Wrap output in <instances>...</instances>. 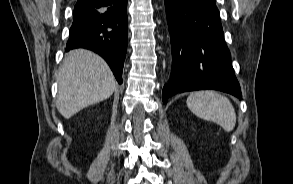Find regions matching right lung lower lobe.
I'll list each match as a JSON object with an SVG mask.
<instances>
[{"label":"right lung lower lobe","mask_w":293,"mask_h":184,"mask_svg":"<svg viewBox=\"0 0 293 184\" xmlns=\"http://www.w3.org/2000/svg\"><path fill=\"white\" fill-rule=\"evenodd\" d=\"M105 3L75 5L66 51L86 48L98 53L121 84L127 51V0Z\"/></svg>","instance_id":"1"}]
</instances>
